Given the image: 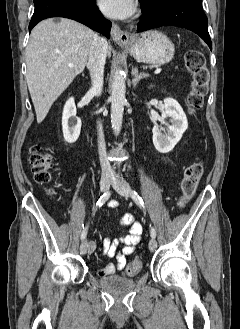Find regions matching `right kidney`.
<instances>
[{
    "label": "right kidney",
    "instance_id": "right-kidney-1",
    "mask_svg": "<svg viewBox=\"0 0 240 329\" xmlns=\"http://www.w3.org/2000/svg\"><path fill=\"white\" fill-rule=\"evenodd\" d=\"M81 119L76 117V106L74 98L71 97L65 103L62 115V130L64 140L68 143H74L80 135Z\"/></svg>",
    "mask_w": 240,
    "mask_h": 329
}]
</instances>
